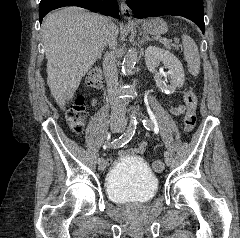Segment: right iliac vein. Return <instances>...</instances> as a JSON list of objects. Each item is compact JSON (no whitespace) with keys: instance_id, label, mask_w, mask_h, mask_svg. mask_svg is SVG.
Returning <instances> with one entry per match:
<instances>
[{"instance_id":"63e3f726","label":"right iliac vein","mask_w":240,"mask_h":238,"mask_svg":"<svg viewBox=\"0 0 240 238\" xmlns=\"http://www.w3.org/2000/svg\"><path fill=\"white\" fill-rule=\"evenodd\" d=\"M110 128H111V131L114 132V133H118V132H121L123 130L122 125L118 121H114V120L111 121ZM105 168H106L105 160H102L101 162L98 163V169L100 171L105 170Z\"/></svg>"}]
</instances>
